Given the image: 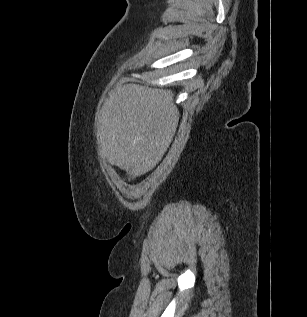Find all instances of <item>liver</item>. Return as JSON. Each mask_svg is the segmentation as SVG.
Instances as JSON below:
<instances>
[{
  "label": "liver",
  "mask_w": 307,
  "mask_h": 317,
  "mask_svg": "<svg viewBox=\"0 0 307 317\" xmlns=\"http://www.w3.org/2000/svg\"><path fill=\"white\" fill-rule=\"evenodd\" d=\"M179 121L171 90L117 86L104 102L98 136L108 162L132 176L152 170L167 151Z\"/></svg>",
  "instance_id": "6515ba94"
}]
</instances>
